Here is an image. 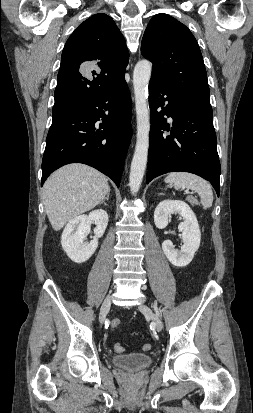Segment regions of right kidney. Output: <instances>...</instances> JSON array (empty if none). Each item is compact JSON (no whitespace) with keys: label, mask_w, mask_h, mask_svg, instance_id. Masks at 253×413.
I'll return each mask as SVG.
<instances>
[{"label":"right kidney","mask_w":253,"mask_h":413,"mask_svg":"<svg viewBox=\"0 0 253 413\" xmlns=\"http://www.w3.org/2000/svg\"><path fill=\"white\" fill-rule=\"evenodd\" d=\"M95 222V237L89 243L84 242L90 233L91 223ZM108 225V214L98 209L89 215H80L72 219L64 228L61 244L67 256L75 263L86 262L98 247V239L103 236Z\"/></svg>","instance_id":"obj_1"}]
</instances>
